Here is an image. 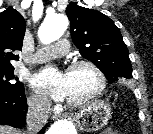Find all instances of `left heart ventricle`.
<instances>
[{"label":"left heart ventricle","mask_w":153,"mask_h":134,"mask_svg":"<svg viewBox=\"0 0 153 134\" xmlns=\"http://www.w3.org/2000/svg\"><path fill=\"white\" fill-rule=\"evenodd\" d=\"M97 85L94 73L87 67L68 71L67 100H79L90 94Z\"/></svg>","instance_id":"left-heart-ventricle-1"}]
</instances>
